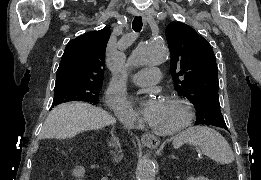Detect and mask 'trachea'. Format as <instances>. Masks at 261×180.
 Segmentation results:
<instances>
[{"label":"trachea","instance_id":"obj_1","mask_svg":"<svg viewBox=\"0 0 261 180\" xmlns=\"http://www.w3.org/2000/svg\"><path fill=\"white\" fill-rule=\"evenodd\" d=\"M143 26L142 17H135L132 22V28L135 32H140Z\"/></svg>","mask_w":261,"mask_h":180}]
</instances>
